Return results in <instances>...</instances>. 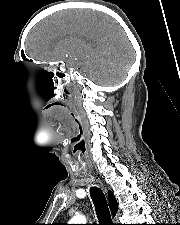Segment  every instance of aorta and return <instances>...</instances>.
<instances>
[{"label": "aorta", "instance_id": "aorta-1", "mask_svg": "<svg viewBox=\"0 0 180 225\" xmlns=\"http://www.w3.org/2000/svg\"><path fill=\"white\" fill-rule=\"evenodd\" d=\"M86 220L83 216L77 215L73 217L70 221V224H85Z\"/></svg>", "mask_w": 180, "mask_h": 225}]
</instances>
